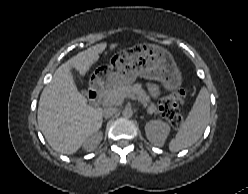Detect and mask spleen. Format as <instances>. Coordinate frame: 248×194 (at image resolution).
I'll return each instance as SVG.
<instances>
[{"instance_id":"spleen-1","label":"spleen","mask_w":248,"mask_h":194,"mask_svg":"<svg viewBox=\"0 0 248 194\" xmlns=\"http://www.w3.org/2000/svg\"><path fill=\"white\" fill-rule=\"evenodd\" d=\"M210 118V98L202 87L186 120L181 124L175 138L169 143L171 152H178L195 144L202 136Z\"/></svg>"}]
</instances>
